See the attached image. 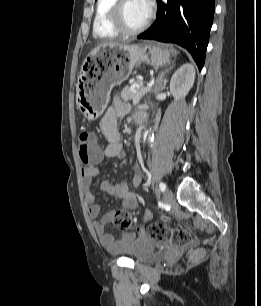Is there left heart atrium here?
<instances>
[{"instance_id": "39dd6f15", "label": "left heart atrium", "mask_w": 261, "mask_h": 306, "mask_svg": "<svg viewBox=\"0 0 261 306\" xmlns=\"http://www.w3.org/2000/svg\"><path fill=\"white\" fill-rule=\"evenodd\" d=\"M145 8V10L149 13L152 9L153 2L152 0H140Z\"/></svg>"}]
</instances>
